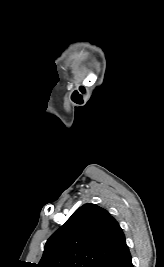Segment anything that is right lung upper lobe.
Masks as SVG:
<instances>
[{"mask_svg": "<svg viewBox=\"0 0 164 267\" xmlns=\"http://www.w3.org/2000/svg\"><path fill=\"white\" fill-rule=\"evenodd\" d=\"M126 245L107 210L85 204L48 239L37 267H99Z\"/></svg>", "mask_w": 164, "mask_h": 267, "instance_id": "right-lung-upper-lobe-1", "label": "right lung upper lobe"}]
</instances>
